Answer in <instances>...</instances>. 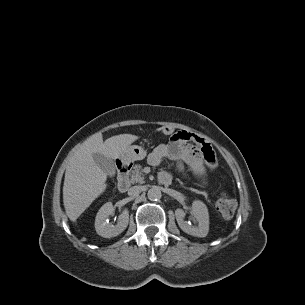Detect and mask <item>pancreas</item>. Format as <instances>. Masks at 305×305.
Instances as JSON below:
<instances>
[{
    "instance_id": "pancreas-1",
    "label": "pancreas",
    "mask_w": 305,
    "mask_h": 305,
    "mask_svg": "<svg viewBox=\"0 0 305 305\" xmlns=\"http://www.w3.org/2000/svg\"><path fill=\"white\" fill-rule=\"evenodd\" d=\"M129 182L131 184H135V183H140L143 184L144 181V176L142 173V166L141 165H135L134 166V170L131 171L130 173V179Z\"/></svg>"
}]
</instances>
